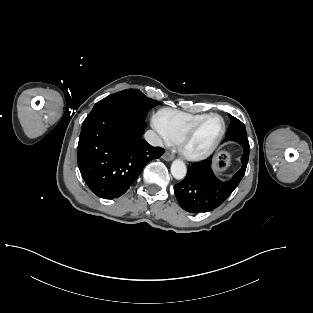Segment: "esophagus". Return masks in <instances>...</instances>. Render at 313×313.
Wrapping results in <instances>:
<instances>
[{"label": "esophagus", "mask_w": 313, "mask_h": 313, "mask_svg": "<svg viewBox=\"0 0 313 313\" xmlns=\"http://www.w3.org/2000/svg\"><path fill=\"white\" fill-rule=\"evenodd\" d=\"M163 159H164L165 161H171V160L174 159V155H173V154H170L169 152H166V153H164V155H163Z\"/></svg>", "instance_id": "1"}]
</instances>
